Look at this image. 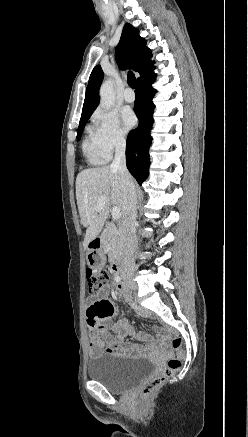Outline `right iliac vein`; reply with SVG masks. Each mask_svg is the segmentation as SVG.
Wrapping results in <instances>:
<instances>
[{
    "mask_svg": "<svg viewBox=\"0 0 248 437\" xmlns=\"http://www.w3.org/2000/svg\"><path fill=\"white\" fill-rule=\"evenodd\" d=\"M125 281H126V283L129 285V286H131V287H136V284L133 282V279H132V276H130V275H125Z\"/></svg>",
    "mask_w": 248,
    "mask_h": 437,
    "instance_id": "obj_1",
    "label": "right iliac vein"
}]
</instances>
